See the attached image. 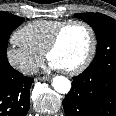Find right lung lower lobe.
Returning a JSON list of instances; mask_svg holds the SVG:
<instances>
[{"mask_svg":"<svg viewBox=\"0 0 116 116\" xmlns=\"http://www.w3.org/2000/svg\"><path fill=\"white\" fill-rule=\"evenodd\" d=\"M34 80L14 70L0 77V116H25L30 108V86Z\"/></svg>","mask_w":116,"mask_h":116,"instance_id":"98d812e1","label":"right lung lower lobe"}]
</instances>
